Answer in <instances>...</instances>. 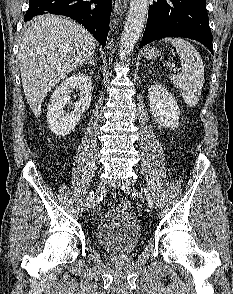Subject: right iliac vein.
<instances>
[{
	"label": "right iliac vein",
	"mask_w": 233,
	"mask_h": 294,
	"mask_svg": "<svg viewBox=\"0 0 233 294\" xmlns=\"http://www.w3.org/2000/svg\"><path fill=\"white\" fill-rule=\"evenodd\" d=\"M104 189V185L102 182H99L97 184V187H96V194L94 196V199H93V207H95L98 202H99V196H100V193L102 192V190Z\"/></svg>",
	"instance_id": "63e3f726"
}]
</instances>
